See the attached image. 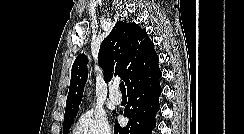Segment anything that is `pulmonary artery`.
<instances>
[{
  "mask_svg": "<svg viewBox=\"0 0 244 134\" xmlns=\"http://www.w3.org/2000/svg\"><path fill=\"white\" fill-rule=\"evenodd\" d=\"M109 99L113 104H120L121 103V95L118 93V86L113 85L110 89Z\"/></svg>",
  "mask_w": 244,
  "mask_h": 134,
  "instance_id": "1",
  "label": "pulmonary artery"
}]
</instances>
